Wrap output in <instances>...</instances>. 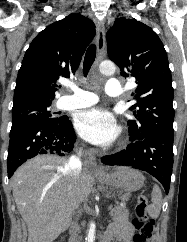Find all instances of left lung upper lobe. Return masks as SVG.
I'll use <instances>...</instances> for the list:
<instances>
[{"label": "left lung upper lobe", "mask_w": 187, "mask_h": 242, "mask_svg": "<svg viewBox=\"0 0 187 242\" xmlns=\"http://www.w3.org/2000/svg\"><path fill=\"white\" fill-rule=\"evenodd\" d=\"M109 58L123 77L138 84L129 109L135 119L128 121L130 140L152 134H173V87L164 46L157 34L136 19L118 18L107 32Z\"/></svg>", "instance_id": "left-lung-upper-lobe-1"}]
</instances>
